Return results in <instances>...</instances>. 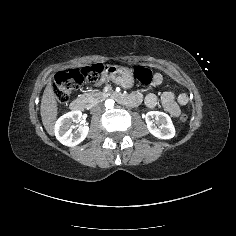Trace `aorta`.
<instances>
[{
	"label": "aorta",
	"instance_id": "aorta-1",
	"mask_svg": "<svg viewBox=\"0 0 236 236\" xmlns=\"http://www.w3.org/2000/svg\"><path fill=\"white\" fill-rule=\"evenodd\" d=\"M114 100H112V99H107L106 101H105V107L107 108V109H111V108H113L114 107Z\"/></svg>",
	"mask_w": 236,
	"mask_h": 236
}]
</instances>
